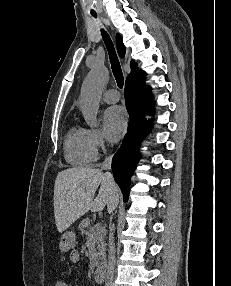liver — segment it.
Instances as JSON below:
<instances>
[{"label": "liver", "instance_id": "6515ba94", "mask_svg": "<svg viewBox=\"0 0 231 286\" xmlns=\"http://www.w3.org/2000/svg\"><path fill=\"white\" fill-rule=\"evenodd\" d=\"M53 200L55 223L61 233L89 210L101 211L107 205L113 211L119 202V189L99 169L68 168L56 177Z\"/></svg>", "mask_w": 231, "mask_h": 286}]
</instances>
